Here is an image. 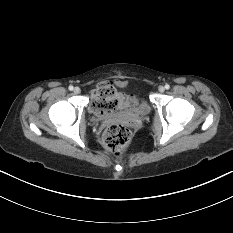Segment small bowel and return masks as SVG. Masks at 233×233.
Returning a JSON list of instances; mask_svg holds the SVG:
<instances>
[{
	"label": "small bowel",
	"instance_id": "small-bowel-1",
	"mask_svg": "<svg viewBox=\"0 0 233 233\" xmlns=\"http://www.w3.org/2000/svg\"><path fill=\"white\" fill-rule=\"evenodd\" d=\"M118 102H119V106H124L127 102V98L123 95H118Z\"/></svg>",
	"mask_w": 233,
	"mask_h": 233
}]
</instances>
